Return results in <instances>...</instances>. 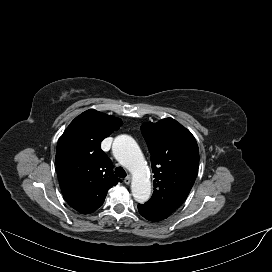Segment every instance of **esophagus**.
I'll return each instance as SVG.
<instances>
[{
    "label": "esophagus",
    "instance_id": "obj_1",
    "mask_svg": "<svg viewBox=\"0 0 272 272\" xmlns=\"http://www.w3.org/2000/svg\"><path fill=\"white\" fill-rule=\"evenodd\" d=\"M130 182H131V176L128 175V176L124 179V183H125V184H130Z\"/></svg>",
    "mask_w": 272,
    "mask_h": 272
}]
</instances>
